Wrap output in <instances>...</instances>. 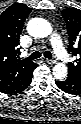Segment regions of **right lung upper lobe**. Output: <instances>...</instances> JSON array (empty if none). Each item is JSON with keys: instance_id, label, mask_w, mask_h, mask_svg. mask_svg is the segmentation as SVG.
Segmentation results:
<instances>
[{"instance_id": "cb5924a9", "label": "right lung upper lobe", "mask_w": 81, "mask_h": 124, "mask_svg": "<svg viewBox=\"0 0 81 124\" xmlns=\"http://www.w3.org/2000/svg\"><path fill=\"white\" fill-rule=\"evenodd\" d=\"M31 8L15 3L0 14V89L23 78L35 63L20 60L18 48L24 21Z\"/></svg>"}]
</instances>
